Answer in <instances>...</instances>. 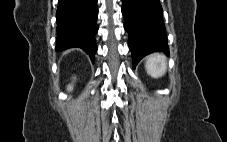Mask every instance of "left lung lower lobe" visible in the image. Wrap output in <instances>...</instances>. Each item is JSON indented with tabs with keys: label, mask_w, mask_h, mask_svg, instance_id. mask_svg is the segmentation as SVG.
<instances>
[{
	"label": "left lung lower lobe",
	"mask_w": 227,
	"mask_h": 142,
	"mask_svg": "<svg viewBox=\"0 0 227 142\" xmlns=\"http://www.w3.org/2000/svg\"><path fill=\"white\" fill-rule=\"evenodd\" d=\"M124 28L129 34L133 67L147 54H169L159 0H122Z\"/></svg>",
	"instance_id": "obj_1"
}]
</instances>
